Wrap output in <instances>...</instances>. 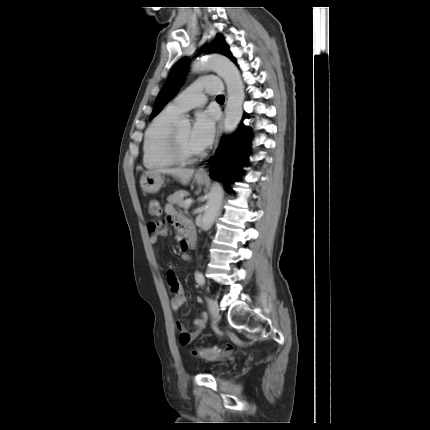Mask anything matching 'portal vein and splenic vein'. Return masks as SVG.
<instances>
[{"label": "portal vein and splenic vein", "mask_w": 430, "mask_h": 430, "mask_svg": "<svg viewBox=\"0 0 430 430\" xmlns=\"http://www.w3.org/2000/svg\"><path fill=\"white\" fill-rule=\"evenodd\" d=\"M192 202H193V200H192L191 198L186 199V200L184 201V207H185L186 209H188V208L191 206Z\"/></svg>", "instance_id": "obj_1"}]
</instances>
